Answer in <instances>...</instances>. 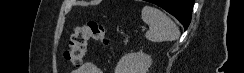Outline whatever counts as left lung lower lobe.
<instances>
[{
	"label": "left lung lower lobe",
	"mask_w": 244,
	"mask_h": 73,
	"mask_svg": "<svg viewBox=\"0 0 244 73\" xmlns=\"http://www.w3.org/2000/svg\"><path fill=\"white\" fill-rule=\"evenodd\" d=\"M148 2L158 5L175 16L185 29L189 26L194 0H148Z\"/></svg>",
	"instance_id": "left-lung-lower-lobe-1"
}]
</instances>
